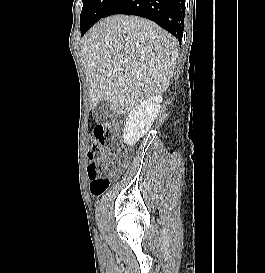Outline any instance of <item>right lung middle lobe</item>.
<instances>
[{"instance_id": "right-lung-middle-lobe-1", "label": "right lung middle lobe", "mask_w": 265, "mask_h": 273, "mask_svg": "<svg viewBox=\"0 0 265 273\" xmlns=\"http://www.w3.org/2000/svg\"><path fill=\"white\" fill-rule=\"evenodd\" d=\"M115 0H83V8L80 15L81 35L104 17L106 11Z\"/></svg>"}]
</instances>
